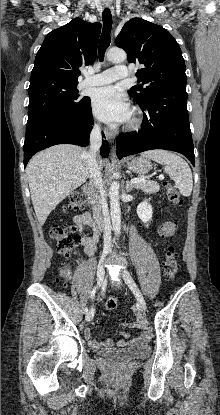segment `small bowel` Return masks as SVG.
Segmentation results:
<instances>
[{
  "label": "small bowel",
  "instance_id": "obj_1",
  "mask_svg": "<svg viewBox=\"0 0 220 415\" xmlns=\"http://www.w3.org/2000/svg\"><path fill=\"white\" fill-rule=\"evenodd\" d=\"M74 227L81 234L80 243L84 248V251L87 255L93 256L97 251L98 242H99V233L96 227L95 222L92 220L89 212H84L76 216L73 220ZM90 229L91 233H86V230ZM136 326L140 329H145V325L142 320H138ZM123 338L117 342V347H135L143 346L147 339L142 338V334L136 338L129 340L128 334L126 332H121ZM84 337L87 340L88 344L92 348L106 350L112 347L113 343L110 339H107L103 342H98L93 339L92 332L90 329H84Z\"/></svg>",
  "mask_w": 220,
  "mask_h": 415
}]
</instances>
